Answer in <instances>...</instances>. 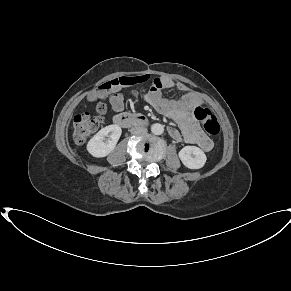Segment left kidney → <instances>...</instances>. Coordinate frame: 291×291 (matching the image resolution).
<instances>
[{"label":"left kidney","instance_id":"1","mask_svg":"<svg viewBox=\"0 0 291 291\" xmlns=\"http://www.w3.org/2000/svg\"><path fill=\"white\" fill-rule=\"evenodd\" d=\"M179 158L189 169H200L206 163L205 153L196 146H185L179 151Z\"/></svg>","mask_w":291,"mask_h":291}]
</instances>
